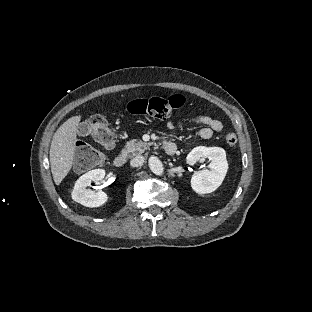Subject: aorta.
<instances>
[{
	"label": "aorta",
	"instance_id": "obj_1",
	"mask_svg": "<svg viewBox=\"0 0 312 312\" xmlns=\"http://www.w3.org/2000/svg\"><path fill=\"white\" fill-rule=\"evenodd\" d=\"M149 167L156 175H161L163 173V164L157 157L149 158Z\"/></svg>",
	"mask_w": 312,
	"mask_h": 312
}]
</instances>
